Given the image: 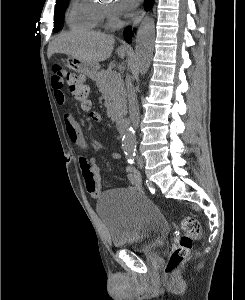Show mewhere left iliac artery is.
Here are the masks:
<instances>
[{"label": "left iliac artery", "mask_w": 245, "mask_h": 300, "mask_svg": "<svg viewBox=\"0 0 245 300\" xmlns=\"http://www.w3.org/2000/svg\"><path fill=\"white\" fill-rule=\"evenodd\" d=\"M125 154L127 156L128 162L130 164H133L135 156H136V148H134V147L126 148Z\"/></svg>", "instance_id": "1"}]
</instances>
